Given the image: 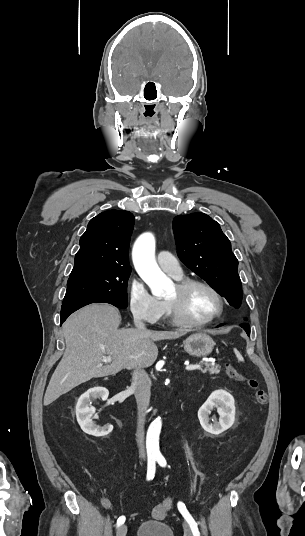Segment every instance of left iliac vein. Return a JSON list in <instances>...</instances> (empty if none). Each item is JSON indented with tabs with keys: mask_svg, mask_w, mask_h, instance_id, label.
Segmentation results:
<instances>
[{
	"mask_svg": "<svg viewBox=\"0 0 305 536\" xmlns=\"http://www.w3.org/2000/svg\"><path fill=\"white\" fill-rule=\"evenodd\" d=\"M183 527L185 531V536H193L191 528L187 522H184Z\"/></svg>",
	"mask_w": 305,
	"mask_h": 536,
	"instance_id": "4c4485c4",
	"label": "left iliac vein"
}]
</instances>
